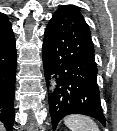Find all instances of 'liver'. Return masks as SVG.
<instances>
[{"instance_id": "6515ba94", "label": "liver", "mask_w": 117, "mask_h": 131, "mask_svg": "<svg viewBox=\"0 0 117 131\" xmlns=\"http://www.w3.org/2000/svg\"><path fill=\"white\" fill-rule=\"evenodd\" d=\"M4 130V127L3 125L0 123V131H3Z\"/></svg>"}]
</instances>
